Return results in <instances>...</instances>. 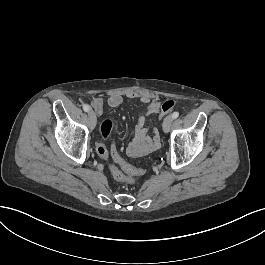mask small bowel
Wrapping results in <instances>:
<instances>
[{"mask_svg": "<svg viewBox=\"0 0 265 265\" xmlns=\"http://www.w3.org/2000/svg\"><path fill=\"white\" fill-rule=\"evenodd\" d=\"M127 97L130 99L139 98L140 102L145 105V110L139 114L137 119L136 129L138 134L128 146L127 152L133 157L144 156L152 153L160 146V139L157 133L153 132V134L150 136L148 129L145 128L147 118L159 112L160 102L153 99L149 94L138 95L136 93H129ZM122 102L123 96L118 92H112L107 99V104L110 107H118L122 104ZM92 104L97 111H102L103 106L101 99H93ZM113 167L114 166H111V169Z\"/></svg>", "mask_w": 265, "mask_h": 265, "instance_id": "c3829d8e", "label": "small bowel"}]
</instances>
